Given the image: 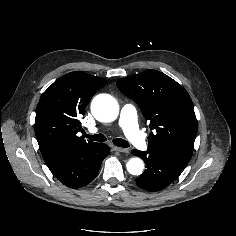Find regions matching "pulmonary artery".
<instances>
[{"label":"pulmonary artery","mask_w":236,"mask_h":236,"mask_svg":"<svg viewBox=\"0 0 236 236\" xmlns=\"http://www.w3.org/2000/svg\"><path fill=\"white\" fill-rule=\"evenodd\" d=\"M119 125L123 129L129 141L138 149L146 150L148 145L144 134L139 130L137 123V112L134 106L126 104L122 107L119 117ZM91 133L97 132L96 128L89 130Z\"/></svg>","instance_id":"e3ab8cb5"}]
</instances>
